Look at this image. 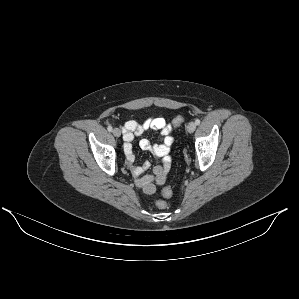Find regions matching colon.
I'll return each instance as SVG.
<instances>
[{
  "label": "colon",
  "mask_w": 299,
  "mask_h": 299,
  "mask_svg": "<svg viewBox=\"0 0 299 299\" xmlns=\"http://www.w3.org/2000/svg\"><path fill=\"white\" fill-rule=\"evenodd\" d=\"M184 121V118L182 116H178L173 119L172 124L173 126L177 127L180 126ZM172 189L171 187H164L162 190V195L164 196L165 199H168L172 196ZM165 199H160L157 201L156 205L159 209H166L168 208V203Z\"/></svg>",
  "instance_id": "5ec220e1"
}]
</instances>
